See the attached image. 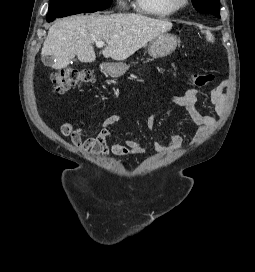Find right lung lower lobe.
I'll use <instances>...</instances> for the list:
<instances>
[{
  "label": "right lung lower lobe",
  "instance_id": "1",
  "mask_svg": "<svg viewBox=\"0 0 255 272\" xmlns=\"http://www.w3.org/2000/svg\"><path fill=\"white\" fill-rule=\"evenodd\" d=\"M48 22H51V21H53V20H47Z\"/></svg>",
  "mask_w": 255,
  "mask_h": 272
}]
</instances>
